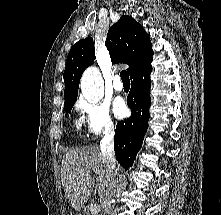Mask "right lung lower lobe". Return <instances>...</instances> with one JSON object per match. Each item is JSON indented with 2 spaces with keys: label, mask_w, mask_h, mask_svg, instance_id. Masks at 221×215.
Instances as JSON below:
<instances>
[{
  "label": "right lung lower lobe",
  "mask_w": 221,
  "mask_h": 215,
  "mask_svg": "<svg viewBox=\"0 0 221 215\" xmlns=\"http://www.w3.org/2000/svg\"><path fill=\"white\" fill-rule=\"evenodd\" d=\"M151 62L134 73L131 78V91L127 104L132 111L131 117L118 122L114 137L115 155L121 166H132L136 154L142 145L147 130L150 106Z\"/></svg>",
  "instance_id": "1"
}]
</instances>
